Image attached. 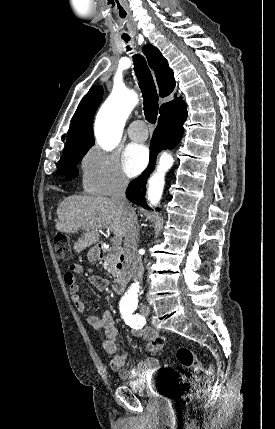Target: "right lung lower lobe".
Instances as JSON below:
<instances>
[{"label":"right lung lower lobe","instance_id":"obj_1","mask_svg":"<svg viewBox=\"0 0 275 429\" xmlns=\"http://www.w3.org/2000/svg\"><path fill=\"white\" fill-rule=\"evenodd\" d=\"M186 107L185 102H181L172 113L159 119L151 140L149 165L139 177L130 182L126 191L129 201L150 209L145 199L146 180L154 169L157 154L163 149L174 148L180 142L183 135V123L187 117Z\"/></svg>","mask_w":275,"mask_h":429}]
</instances>
